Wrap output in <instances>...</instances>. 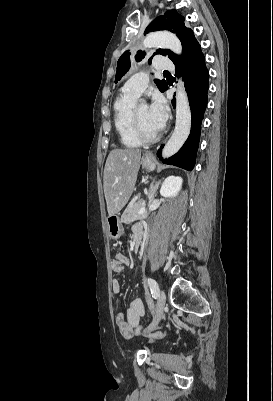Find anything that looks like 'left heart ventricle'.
I'll list each match as a JSON object with an SVG mask.
<instances>
[{
  "instance_id": "1",
  "label": "left heart ventricle",
  "mask_w": 273,
  "mask_h": 401,
  "mask_svg": "<svg viewBox=\"0 0 273 401\" xmlns=\"http://www.w3.org/2000/svg\"><path fill=\"white\" fill-rule=\"evenodd\" d=\"M136 113L138 120L142 128L148 133H155L158 130L152 125L148 116V109L145 105H140L136 107Z\"/></svg>"
}]
</instances>
